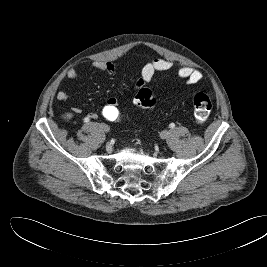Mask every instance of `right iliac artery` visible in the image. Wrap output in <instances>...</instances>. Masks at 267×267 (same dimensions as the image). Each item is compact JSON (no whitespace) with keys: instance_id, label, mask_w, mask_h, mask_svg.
I'll list each match as a JSON object with an SVG mask.
<instances>
[{"instance_id":"obj_1","label":"right iliac artery","mask_w":267,"mask_h":267,"mask_svg":"<svg viewBox=\"0 0 267 267\" xmlns=\"http://www.w3.org/2000/svg\"><path fill=\"white\" fill-rule=\"evenodd\" d=\"M84 121H85V122H89V118H87V117L84 118Z\"/></svg>"}]
</instances>
